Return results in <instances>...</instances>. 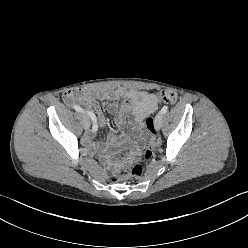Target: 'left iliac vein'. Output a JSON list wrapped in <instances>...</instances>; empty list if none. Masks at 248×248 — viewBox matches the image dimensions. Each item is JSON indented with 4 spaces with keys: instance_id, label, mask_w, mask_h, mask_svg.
I'll list each match as a JSON object with an SVG mask.
<instances>
[{
    "instance_id": "obj_1",
    "label": "left iliac vein",
    "mask_w": 248,
    "mask_h": 248,
    "mask_svg": "<svg viewBox=\"0 0 248 248\" xmlns=\"http://www.w3.org/2000/svg\"><path fill=\"white\" fill-rule=\"evenodd\" d=\"M162 120H163V113L162 112L157 113V115L155 116V121H154L155 127L157 130L161 128Z\"/></svg>"
}]
</instances>
